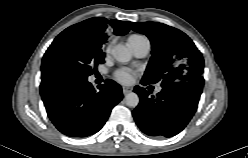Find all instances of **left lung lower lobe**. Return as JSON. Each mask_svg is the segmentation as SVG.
<instances>
[{"label": "left lung lower lobe", "instance_id": "obj_1", "mask_svg": "<svg viewBox=\"0 0 248 158\" xmlns=\"http://www.w3.org/2000/svg\"><path fill=\"white\" fill-rule=\"evenodd\" d=\"M134 92L140 97L139 105L132 112L138 127L149 136L172 137L181 132L194 115L202 86L179 83L163 88L156 96H149L139 86Z\"/></svg>", "mask_w": 248, "mask_h": 158}]
</instances>
